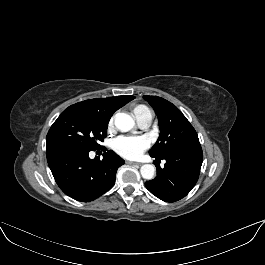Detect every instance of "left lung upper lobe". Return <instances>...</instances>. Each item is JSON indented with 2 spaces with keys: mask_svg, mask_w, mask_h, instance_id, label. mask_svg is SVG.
<instances>
[{
  "mask_svg": "<svg viewBox=\"0 0 265 265\" xmlns=\"http://www.w3.org/2000/svg\"><path fill=\"white\" fill-rule=\"evenodd\" d=\"M157 114L160 135L150 156L162 157L177 149L200 145L198 135L187 118L171 102L157 96H143Z\"/></svg>",
  "mask_w": 265,
  "mask_h": 265,
  "instance_id": "1",
  "label": "left lung upper lobe"
}]
</instances>
